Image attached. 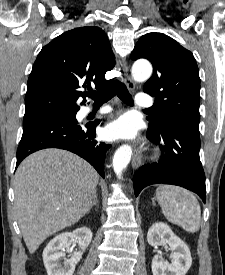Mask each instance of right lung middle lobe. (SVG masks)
I'll list each match as a JSON object with an SVG mask.
<instances>
[{
    "label": "right lung middle lobe",
    "mask_w": 225,
    "mask_h": 275,
    "mask_svg": "<svg viewBox=\"0 0 225 275\" xmlns=\"http://www.w3.org/2000/svg\"><path fill=\"white\" fill-rule=\"evenodd\" d=\"M77 111L78 110H56V111H51L50 113L60 115L64 118L73 119L76 117Z\"/></svg>",
    "instance_id": "obj_1"
}]
</instances>
